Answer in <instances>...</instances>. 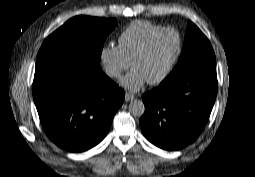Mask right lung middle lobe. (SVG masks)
I'll use <instances>...</instances> for the list:
<instances>
[{"label": "right lung middle lobe", "instance_id": "1", "mask_svg": "<svg viewBox=\"0 0 255 177\" xmlns=\"http://www.w3.org/2000/svg\"><path fill=\"white\" fill-rule=\"evenodd\" d=\"M116 25L115 19L89 16L68 20L44 41L36 68L63 63L100 70L103 43Z\"/></svg>", "mask_w": 255, "mask_h": 177}]
</instances>
